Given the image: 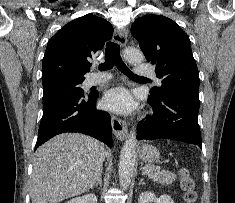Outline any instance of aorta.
<instances>
[{
	"instance_id": "obj_1",
	"label": "aorta",
	"mask_w": 235,
	"mask_h": 203,
	"mask_svg": "<svg viewBox=\"0 0 235 203\" xmlns=\"http://www.w3.org/2000/svg\"><path fill=\"white\" fill-rule=\"evenodd\" d=\"M124 58L133 65L143 62V54L135 48H126L124 50ZM136 129L133 128L127 135L124 146L122 148L119 160V180L122 188H127L133 176L135 160H136Z\"/></svg>"
}]
</instances>
